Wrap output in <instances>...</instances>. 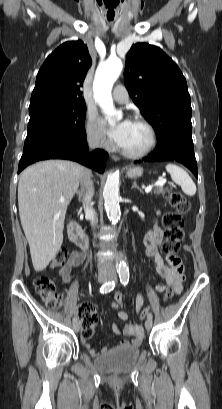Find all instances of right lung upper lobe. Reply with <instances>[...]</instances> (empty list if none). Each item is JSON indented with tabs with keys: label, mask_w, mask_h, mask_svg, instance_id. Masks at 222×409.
<instances>
[{
	"label": "right lung upper lobe",
	"mask_w": 222,
	"mask_h": 409,
	"mask_svg": "<svg viewBox=\"0 0 222 409\" xmlns=\"http://www.w3.org/2000/svg\"><path fill=\"white\" fill-rule=\"evenodd\" d=\"M91 64L82 41L63 43L40 68L29 109L51 103L84 102L81 86Z\"/></svg>",
	"instance_id": "cb5924a9"
}]
</instances>
